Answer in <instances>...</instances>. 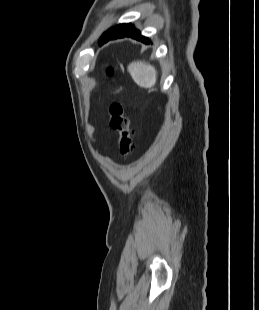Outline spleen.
Segmentation results:
<instances>
[{"instance_id": "3e777b00", "label": "spleen", "mask_w": 259, "mask_h": 310, "mask_svg": "<svg viewBox=\"0 0 259 310\" xmlns=\"http://www.w3.org/2000/svg\"><path fill=\"white\" fill-rule=\"evenodd\" d=\"M128 72L134 82L143 88L151 89L157 79L156 69L145 61H134L128 65Z\"/></svg>"}]
</instances>
